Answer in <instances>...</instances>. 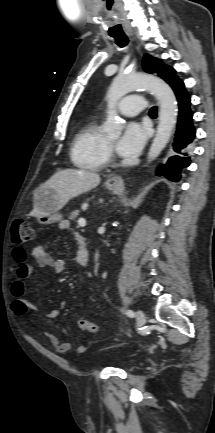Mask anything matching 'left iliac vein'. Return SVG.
<instances>
[{
  "mask_svg": "<svg viewBox=\"0 0 215 433\" xmlns=\"http://www.w3.org/2000/svg\"><path fill=\"white\" fill-rule=\"evenodd\" d=\"M136 321L138 327H142L145 324V314L140 309L136 312Z\"/></svg>",
  "mask_w": 215,
  "mask_h": 433,
  "instance_id": "1",
  "label": "left iliac vein"
}]
</instances>
